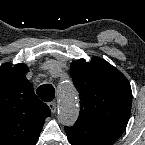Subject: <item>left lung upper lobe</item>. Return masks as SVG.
<instances>
[{"label": "left lung upper lobe", "instance_id": "left-lung-upper-lobe-1", "mask_svg": "<svg viewBox=\"0 0 145 145\" xmlns=\"http://www.w3.org/2000/svg\"><path fill=\"white\" fill-rule=\"evenodd\" d=\"M70 75L81 100L76 123L127 125L132 91L127 78L107 61L93 57L70 65Z\"/></svg>", "mask_w": 145, "mask_h": 145}]
</instances>
